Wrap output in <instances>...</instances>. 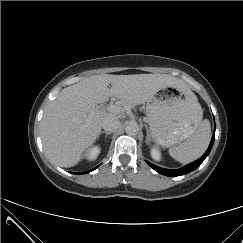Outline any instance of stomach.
I'll list each match as a JSON object with an SVG mask.
<instances>
[{
    "label": "stomach",
    "mask_w": 243,
    "mask_h": 243,
    "mask_svg": "<svg viewBox=\"0 0 243 243\" xmlns=\"http://www.w3.org/2000/svg\"><path fill=\"white\" fill-rule=\"evenodd\" d=\"M197 103L196 96L188 89L166 87L155 94L146 106L154 142L168 147L188 138L199 124Z\"/></svg>",
    "instance_id": "0dacf381"
}]
</instances>
